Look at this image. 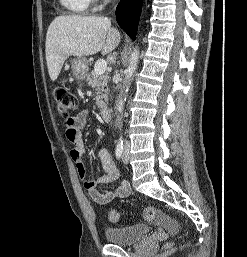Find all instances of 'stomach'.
Here are the masks:
<instances>
[{
  "label": "stomach",
  "mask_w": 247,
  "mask_h": 257,
  "mask_svg": "<svg viewBox=\"0 0 247 257\" xmlns=\"http://www.w3.org/2000/svg\"><path fill=\"white\" fill-rule=\"evenodd\" d=\"M71 68H72L74 77L77 80L82 81L87 76L88 61L85 58L77 57L72 60Z\"/></svg>",
  "instance_id": "obj_1"
}]
</instances>
